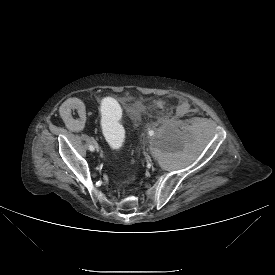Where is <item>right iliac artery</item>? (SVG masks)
I'll use <instances>...</instances> for the list:
<instances>
[{
    "label": "right iliac artery",
    "mask_w": 275,
    "mask_h": 275,
    "mask_svg": "<svg viewBox=\"0 0 275 275\" xmlns=\"http://www.w3.org/2000/svg\"><path fill=\"white\" fill-rule=\"evenodd\" d=\"M90 151H94V147L92 145L89 146Z\"/></svg>",
    "instance_id": "1"
}]
</instances>
